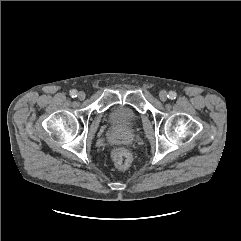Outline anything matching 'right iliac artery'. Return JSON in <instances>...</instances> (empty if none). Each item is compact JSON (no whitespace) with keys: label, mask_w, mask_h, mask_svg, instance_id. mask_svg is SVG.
Returning <instances> with one entry per match:
<instances>
[{"label":"right iliac artery","mask_w":241,"mask_h":241,"mask_svg":"<svg viewBox=\"0 0 241 241\" xmlns=\"http://www.w3.org/2000/svg\"><path fill=\"white\" fill-rule=\"evenodd\" d=\"M70 95H71V97H73V98L77 97V91H76L75 89L71 90V91H70Z\"/></svg>","instance_id":"1"}]
</instances>
